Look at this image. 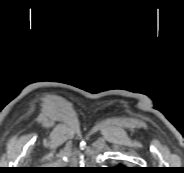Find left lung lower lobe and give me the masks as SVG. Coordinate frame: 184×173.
Listing matches in <instances>:
<instances>
[{"mask_svg": "<svg viewBox=\"0 0 184 173\" xmlns=\"http://www.w3.org/2000/svg\"><path fill=\"white\" fill-rule=\"evenodd\" d=\"M117 173H132L134 172V168L131 167H117L115 168Z\"/></svg>", "mask_w": 184, "mask_h": 173, "instance_id": "left-lung-lower-lobe-1", "label": "left lung lower lobe"}]
</instances>
